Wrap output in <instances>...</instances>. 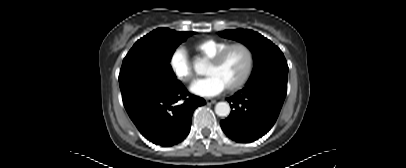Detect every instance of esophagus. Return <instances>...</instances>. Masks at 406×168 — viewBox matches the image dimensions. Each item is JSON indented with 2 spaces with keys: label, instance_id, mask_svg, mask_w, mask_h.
<instances>
[{
  "label": "esophagus",
  "instance_id": "1",
  "mask_svg": "<svg viewBox=\"0 0 406 168\" xmlns=\"http://www.w3.org/2000/svg\"><path fill=\"white\" fill-rule=\"evenodd\" d=\"M206 103H207V104H214V103H216V100H215V99H211V98H206Z\"/></svg>",
  "mask_w": 406,
  "mask_h": 168
}]
</instances>
